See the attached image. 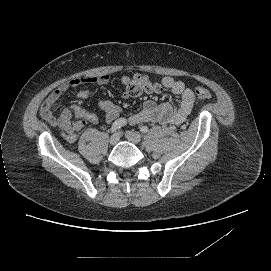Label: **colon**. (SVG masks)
Segmentation results:
<instances>
[{
	"label": "colon",
	"mask_w": 271,
	"mask_h": 271,
	"mask_svg": "<svg viewBox=\"0 0 271 271\" xmlns=\"http://www.w3.org/2000/svg\"><path fill=\"white\" fill-rule=\"evenodd\" d=\"M126 90L129 96H139L143 93H159L161 86L147 76L135 75L130 80ZM194 92L199 99H212V94L204 88H196Z\"/></svg>",
	"instance_id": "1"
}]
</instances>
